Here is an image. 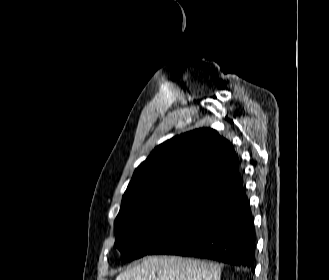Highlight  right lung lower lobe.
<instances>
[{
	"label": "right lung lower lobe",
	"instance_id": "right-lung-lower-lobe-1",
	"mask_svg": "<svg viewBox=\"0 0 329 280\" xmlns=\"http://www.w3.org/2000/svg\"><path fill=\"white\" fill-rule=\"evenodd\" d=\"M149 254L208 258L254 271L255 231L240 173L214 187Z\"/></svg>",
	"mask_w": 329,
	"mask_h": 280
}]
</instances>
